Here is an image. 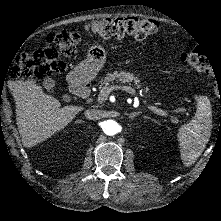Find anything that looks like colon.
<instances>
[{
  "label": "colon",
  "instance_id": "obj_1",
  "mask_svg": "<svg viewBox=\"0 0 221 221\" xmlns=\"http://www.w3.org/2000/svg\"><path fill=\"white\" fill-rule=\"evenodd\" d=\"M85 28L88 32L104 38L129 35L136 39H145L155 34L158 29L154 21L140 16L102 18L86 23ZM80 40L81 36L75 30L47 33L45 43L49 47L33 53L20 54L11 68L10 77L23 80L36 76L50 81L55 73L64 68V63L59 60L60 55H73ZM181 60L200 73H211L212 64L204 54L197 51L186 52L181 56Z\"/></svg>",
  "mask_w": 221,
  "mask_h": 221
}]
</instances>
